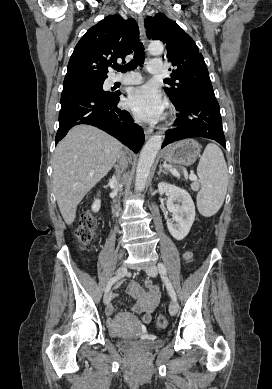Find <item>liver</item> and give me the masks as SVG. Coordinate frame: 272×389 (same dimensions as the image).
<instances>
[{
  "instance_id": "6515ba94",
  "label": "liver",
  "mask_w": 272,
  "mask_h": 389,
  "mask_svg": "<svg viewBox=\"0 0 272 389\" xmlns=\"http://www.w3.org/2000/svg\"><path fill=\"white\" fill-rule=\"evenodd\" d=\"M121 143L89 125L73 127L53 158V189L62 217L71 225L83 197L112 169Z\"/></svg>"
}]
</instances>
